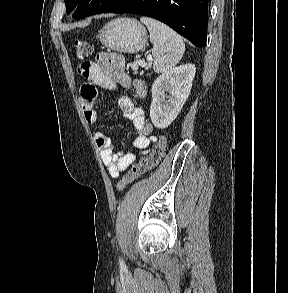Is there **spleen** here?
Wrapping results in <instances>:
<instances>
[{
    "instance_id": "3e777b00",
    "label": "spleen",
    "mask_w": 288,
    "mask_h": 293,
    "mask_svg": "<svg viewBox=\"0 0 288 293\" xmlns=\"http://www.w3.org/2000/svg\"><path fill=\"white\" fill-rule=\"evenodd\" d=\"M140 20L150 33L154 71L164 73L172 69L179 63L185 51L182 37L160 21L149 17H141Z\"/></svg>"
}]
</instances>
